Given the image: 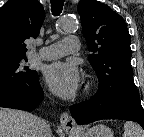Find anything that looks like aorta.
Returning <instances> with one entry per match:
<instances>
[{
  "label": "aorta",
  "instance_id": "obj_1",
  "mask_svg": "<svg viewBox=\"0 0 144 137\" xmlns=\"http://www.w3.org/2000/svg\"><path fill=\"white\" fill-rule=\"evenodd\" d=\"M77 28V22L73 18H63L58 22V30L72 32Z\"/></svg>",
  "mask_w": 144,
  "mask_h": 137
}]
</instances>
